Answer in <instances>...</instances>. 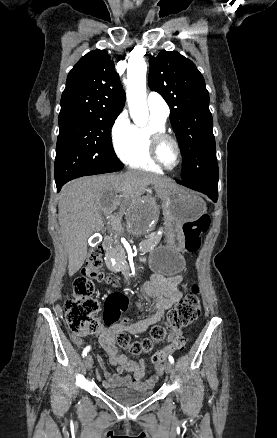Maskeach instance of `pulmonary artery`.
<instances>
[{
	"mask_svg": "<svg viewBox=\"0 0 277 438\" xmlns=\"http://www.w3.org/2000/svg\"><path fill=\"white\" fill-rule=\"evenodd\" d=\"M144 106L154 118L166 121L170 115V108L162 95H147Z\"/></svg>",
	"mask_w": 277,
	"mask_h": 438,
	"instance_id": "pulmonary-artery-1",
	"label": "pulmonary artery"
}]
</instances>
